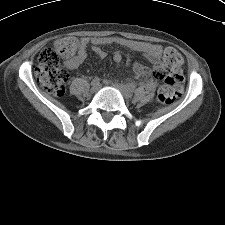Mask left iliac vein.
I'll list each match as a JSON object with an SVG mask.
<instances>
[{
  "instance_id": "left-iliac-vein-1",
  "label": "left iliac vein",
  "mask_w": 225,
  "mask_h": 225,
  "mask_svg": "<svg viewBox=\"0 0 225 225\" xmlns=\"http://www.w3.org/2000/svg\"><path fill=\"white\" fill-rule=\"evenodd\" d=\"M114 87L117 88L121 94L123 95V97L127 100L130 99V91L128 86L124 85V84H120V83H114Z\"/></svg>"
}]
</instances>
